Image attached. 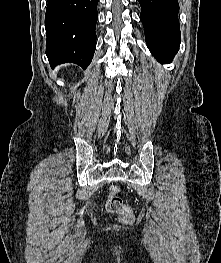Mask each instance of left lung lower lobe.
<instances>
[{
    "mask_svg": "<svg viewBox=\"0 0 221 263\" xmlns=\"http://www.w3.org/2000/svg\"><path fill=\"white\" fill-rule=\"evenodd\" d=\"M140 20L152 55L161 63L172 62L180 45L177 0H138Z\"/></svg>",
    "mask_w": 221,
    "mask_h": 263,
    "instance_id": "obj_1",
    "label": "left lung lower lobe"
}]
</instances>
